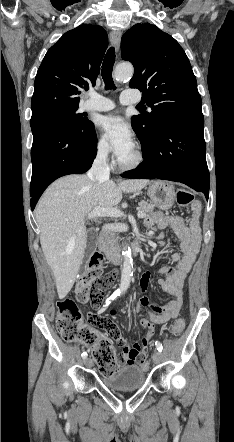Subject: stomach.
<instances>
[{"instance_id":"stomach-1","label":"stomach","mask_w":234,"mask_h":442,"mask_svg":"<svg viewBox=\"0 0 234 442\" xmlns=\"http://www.w3.org/2000/svg\"><path fill=\"white\" fill-rule=\"evenodd\" d=\"M151 201L160 209L168 210L175 202V188L163 181H153L148 188Z\"/></svg>"}]
</instances>
